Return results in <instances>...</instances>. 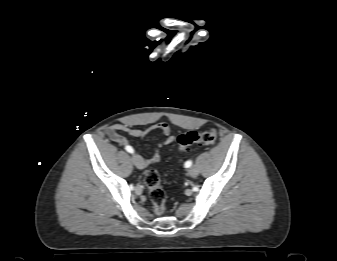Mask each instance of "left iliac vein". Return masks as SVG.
Segmentation results:
<instances>
[{"mask_svg":"<svg viewBox=\"0 0 337 261\" xmlns=\"http://www.w3.org/2000/svg\"><path fill=\"white\" fill-rule=\"evenodd\" d=\"M188 174L191 177H196L199 174V170H198L197 167L193 166V167H191V168L188 169Z\"/></svg>","mask_w":337,"mask_h":261,"instance_id":"4c4485c4","label":"left iliac vein"}]
</instances>
